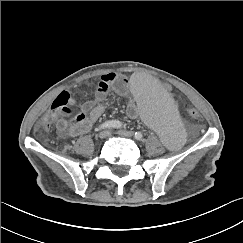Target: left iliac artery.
I'll use <instances>...</instances> for the list:
<instances>
[{
  "label": "left iliac artery",
  "instance_id": "obj_1",
  "mask_svg": "<svg viewBox=\"0 0 243 243\" xmlns=\"http://www.w3.org/2000/svg\"><path fill=\"white\" fill-rule=\"evenodd\" d=\"M135 138L137 139V140H142L143 139V135H142V133L141 132H135Z\"/></svg>",
  "mask_w": 243,
  "mask_h": 243
}]
</instances>
